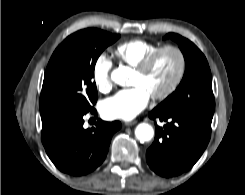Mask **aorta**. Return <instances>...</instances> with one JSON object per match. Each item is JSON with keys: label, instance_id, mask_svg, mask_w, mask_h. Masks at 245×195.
Returning <instances> with one entry per match:
<instances>
[{"label": "aorta", "instance_id": "obj_1", "mask_svg": "<svg viewBox=\"0 0 245 195\" xmlns=\"http://www.w3.org/2000/svg\"><path fill=\"white\" fill-rule=\"evenodd\" d=\"M111 79L120 86L128 83V71L125 67H119L112 71ZM135 136L140 142L150 141L154 136V129L147 123H140L135 129Z\"/></svg>", "mask_w": 245, "mask_h": 195}]
</instances>
